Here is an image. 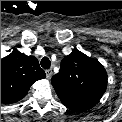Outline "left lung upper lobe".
<instances>
[{
	"instance_id": "5c2ea615",
	"label": "left lung upper lobe",
	"mask_w": 122,
	"mask_h": 122,
	"mask_svg": "<svg viewBox=\"0 0 122 122\" xmlns=\"http://www.w3.org/2000/svg\"><path fill=\"white\" fill-rule=\"evenodd\" d=\"M51 82L63 105L83 112L94 107L104 94L107 73L98 60L74 50L63 58Z\"/></svg>"
}]
</instances>
